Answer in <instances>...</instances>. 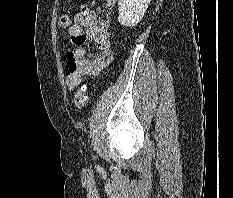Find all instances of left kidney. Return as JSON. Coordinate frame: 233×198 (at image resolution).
Returning <instances> with one entry per match:
<instances>
[{
  "label": "left kidney",
  "instance_id": "obj_1",
  "mask_svg": "<svg viewBox=\"0 0 233 198\" xmlns=\"http://www.w3.org/2000/svg\"><path fill=\"white\" fill-rule=\"evenodd\" d=\"M151 0H119L118 21L123 26H136L148 8Z\"/></svg>",
  "mask_w": 233,
  "mask_h": 198
}]
</instances>
